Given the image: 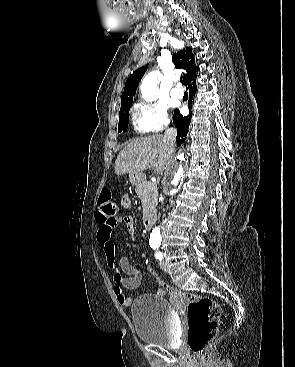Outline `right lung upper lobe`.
I'll list each match as a JSON object with an SVG mask.
<instances>
[{"label":"right lung upper lobe","instance_id":"cb5924a9","mask_svg":"<svg viewBox=\"0 0 295 367\" xmlns=\"http://www.w3.org/2000/svg\"><path fill=\"white\" fill-rule=\"evenodd\" d=\"M173 63L175 64L176 68L187 71L184 76H181V78H183L182 82L187 84L189 89L195 86L198 67L195 65L192 49L187 47L186 49L175 53L173 55ZM147 67L148 65L138 68L127 79L124 91L121 96V105L133 102V97L136 93L137 86L139 85V82L143 77Z\"/></svg>","mask_w":295,"mask_h":367}]
</instances>
